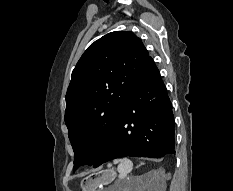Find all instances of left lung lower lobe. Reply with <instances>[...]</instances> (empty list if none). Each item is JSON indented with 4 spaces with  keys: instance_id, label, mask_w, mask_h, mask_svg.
Masks as SVG:
<instances>
[{
    "instance_id": "obj_1",
    "label": "left lung lower lobe",
    "mask_w": 233,
    "mask_h": 191,
    "mask_svg": "<svg viewBox=\"0 0 233 191\" xmlns=\"http://www.w3.org/2000/svg\"><path fill=\"white\" fill-rule=\"evenodd\" d=\"M175 153L174 116L166 87L148 57L116 118L94 168L115 158H160Z\"/></svg>"
}]
</instances>
